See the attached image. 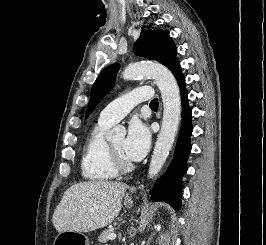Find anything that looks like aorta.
<instances>
[{
    "label": "aorta",
    "mask_w": 266,
    "mask_h": 245,
    "mask_svg": "<svg viewBox=\"0 0 266 245\" xmlns=\"http://www.w3.org/2000/svg\"><path fill=\"white\" fill-rule=\"evenodd\" d=\"M122 74L125 80H133L141 74L142 76L143 74H149V76H153L161 92L163 120L148 171L149 179H154L160 173L178 133L181 118V98L178 82L171 70H168L164 64H159V62H151L146 68L141 64H129ZM109 135V139H113L116 135L125 137L126 131L124 127L117 125L110 131Z\"/></svg>",
    "instance_id": "1"
}]
</instances>
